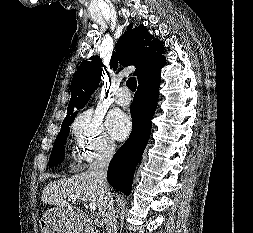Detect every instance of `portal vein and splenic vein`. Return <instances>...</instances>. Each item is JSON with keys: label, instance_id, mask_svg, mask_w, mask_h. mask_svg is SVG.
<instances>
[{"label": "portal vein and splenic vein", "instance_id": "18ae733b", "mask_svg": "<svg viewBox=\"0 0 253 233\" xmlns=\"http://www.w3.org/2000/svg\"><path fill=\"white\" fill-rule=\"evenodd\" d=\"M69 198H70L71 200H77V199H79V198L82 199L79 195H71ZM89 208H90L91 211H95L96 208H97V205L94 204V203H90V204H89Z\"/></svg>", "mask_w": 253, "mask_h": 233}]
</instances>
